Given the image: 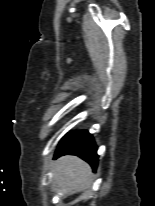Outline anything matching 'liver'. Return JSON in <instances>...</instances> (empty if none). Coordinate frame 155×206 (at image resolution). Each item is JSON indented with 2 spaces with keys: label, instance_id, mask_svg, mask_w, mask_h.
Listing matches in <instances>:
<instances>
[{
  "label": "liver",
  "instance_id": "1",
  "mask_svg": "<svg viewBox=\"0 0 155 206\" xmlns=\"http://www.w3.org/2000/svg\"><path fill=\"white\" fill-rule=\"evenodd\" d=\"M53 168L54 180L65 193H79L91 184V167L78 157H61L54 163Z\"/></svg>",
  "mask_w": 155,
  "mask_h": 206
}]
</instances>
